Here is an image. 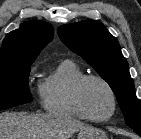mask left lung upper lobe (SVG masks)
I'll return each instance as SVG.
<instances>
[{"label":"left lung upper lobe","mask_w":141,"mask_h":139,"mask_svg":"<svg viewBox=\"0 0 141 139\" xmlns=\"http://www.w3.org/2000/svg\"><path fill=\"white\" fill-rule=\"evenodd\" d=\"M62 42L87 61L110 85L126 123L141 131V102L119 43L99 21L85 20L58 28Z\"/></svg>","instance_id":"obj_1"}]
</instances>
